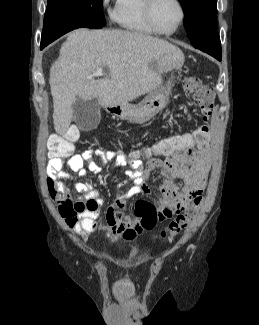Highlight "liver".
Instances as JSON below:
<instances>
[{"mask_svg": "<svg viewBox=\"0 0 259 325\" xmlns=\"http://www.w3.org/2000/svg\"><path fill=\"white\" fill-rule=\"evenodd\" d=\"M184 60L175 45L141 32L85 28L70 32L50 68L56 133L68 130L77 97L97 98L103 107L127 103L160 86L157 71L179 69ZM100 67L110 75L96 80L93 74Z\"/></svg>", "mask_w": 259, "mask_h": 325, "instance_id": "1", "label": "liver"}]
</instances>
